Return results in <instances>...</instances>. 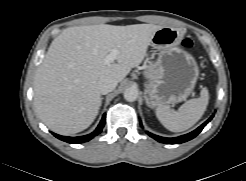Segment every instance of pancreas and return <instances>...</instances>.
I'll use <instances>...</instances> for the list:
<instances>
[{"instance_id": "1", "label": "pancreas", "mask_w": 246, "mask_h": 181, "mask_svg": "<svg viewBox=\"0 0 246 181\" xmlns=\"http://www.w3.org/2000/svg\"><path fill=\"white\" fill-rule=\"evenodd\" d=\"M158 73V70L155 69L154 65L150 64L146 71L144 72L147 77H154Z\"/></svg>"}]
</instances>
